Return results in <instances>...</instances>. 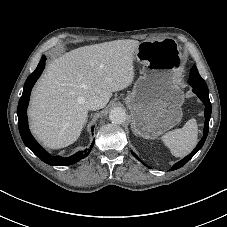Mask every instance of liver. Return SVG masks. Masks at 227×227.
<instances>
[{"mask_svg":"<svg viewBox=\"0 0 227 227\" xmlns=\"http://www.w3.org/2000/svg\"><path fill=\"white\" fill-rule=\"evenodd\" d=\"M140 42L123 39L80 47L48 64L38 80L28 116L34 136L46 147L74 143L87 121L86 101L103 100L134 80V54Z\"/></svg>","mask_w":227,"mask_h":227,"instance_id":"liver-1","label":"liver"}]
</instances>
